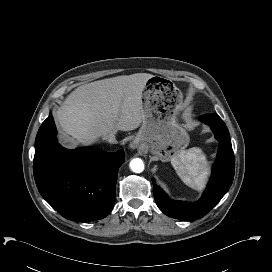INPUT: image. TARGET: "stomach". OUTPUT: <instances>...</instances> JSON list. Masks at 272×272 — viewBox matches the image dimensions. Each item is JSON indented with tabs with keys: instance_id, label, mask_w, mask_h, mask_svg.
Segmentation results:
<instances>
[{
	"instance_id": "1",
	"label": "stomach",
	"mask_w": 272,
	"mask_h": 272,
	"mask_svg": "<svg viewBox=\"0 0 272 272\" xmlns=\"http://www.w3.org/2000/svg\"><path fill=\"white\" fill-rule=\"evenodd\" d=\"M182 93L170 80L152 76L141 98L142 125L135 140L162 161H169L190 141L179 121Z\"/></svg>"
}]
</instances>
